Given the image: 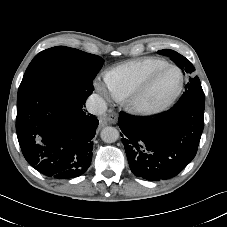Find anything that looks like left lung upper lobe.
I'll list each match as a JSON object with an SVG mask.
<instances>
[{
    "mask_svg": "<svg viewBox=\"0 0 227 227\" xmlns=\"http://www.w3.org/2000/svg\"><path fill=\"white\" fill-rule=\"evenodd\" d=\"M158 53L169 56L171 60H173L175 64L183 70V73H187L189 75V82L186 84L185 92L179 101L194 100L205 102V95L202 90L200 80L193 74L195 68L192 63L181 54L170 49L160 50Z\"/></svg>",
    "mask_w": 227,
    "mask_h": 227,
    "instance_id": "5c2ea615",
    "label": "left lung upper lobe"
}]
</instances>
